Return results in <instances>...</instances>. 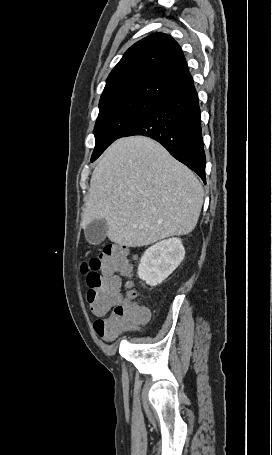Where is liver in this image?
I'll return each instance as SVG.
<instances>
[{"mask_svg": "<svg viewBox=\"0 0 272 455\" xmlns=\"http://www.w3.org/2000/svg\"><path fill=\"white\" fill-rule=\"evenodd\" d=\"M204 190L195 174L156 141L134 136L110 145L95 167L82 226L105 220L110 241L141 247L196 226Z\"/></svg>", "mask_w": 272, "mask_h": 455, "instance_id": "6515ba94", "label": "liver"}]
</instances>
